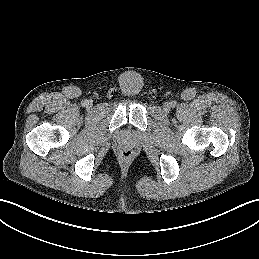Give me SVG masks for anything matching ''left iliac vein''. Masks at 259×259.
<instances>
[{"label":"left iliac vein","instance_id":"left-iliac-vein-1","mask_svg":"<svg viewBox=\"0 0 259 259\" xmlns=\"http://www.w3.org/2000/svg\"><path fill=\"white\" fill-rule=\"evenodd\" d=\"M170 104L169 103H165L164 106H163V109L165 112H168L170 110Z\"/></svg>","mask_w":259,"mask_h":259}]
</instances>
